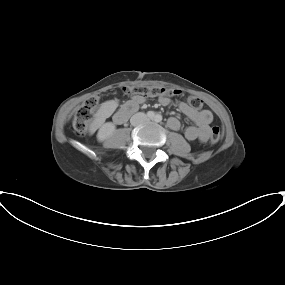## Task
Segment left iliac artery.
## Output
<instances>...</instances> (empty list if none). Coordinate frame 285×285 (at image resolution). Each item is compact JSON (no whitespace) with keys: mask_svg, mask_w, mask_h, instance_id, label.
<instances>
[{"mask_svg":"<svg viewBox=\"0 0 285 285\" xmlns=\"http://www.w3.org/2000/svg\"><path fill=\"white\" fill-rule=\"evenodd\" d=\"M161 119H162V118H161V116H160V115H156V116H155V121L160 122V121H161Z\"/></svg>","mask_w":285,"mask_h":285,"instance_id":"44dca946","label":"left iliac artery"}]
</instances>
